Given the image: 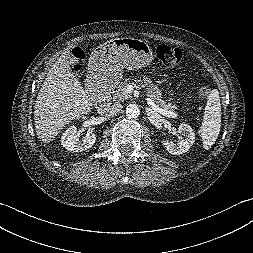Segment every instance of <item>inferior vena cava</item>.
Segmentation results:
<instances>
[{
    "label": "inferior vena cava",
    "mask_w": 253,
    "mask_h": 253,
    "mask_svg": "<svg viewBox=\"0 0 253 253\" xmlns=\"http://www.w3.org/2000/svg\"><path fill=\"white\" fill-rule=\"evenodd\" d=\"M122 104L120 103H115L113 105H104L100 109V111L105 112L108 116H115L119 114L122 111Z\"/></svg>",
    "instance_id": "obj_1"
}]
</instances>
